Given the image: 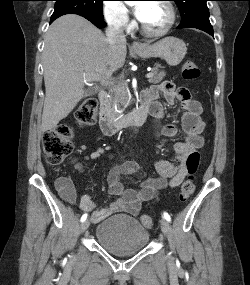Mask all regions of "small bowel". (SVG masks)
Segmentation results:
<instances>
[{
	"mask_svg": "<svg viewBox=\"0 0 250 285\" xmlns=\"http://www.w3.org/2000/svg\"><path fill=\"white\" fill-rule=\"evenodd\" d=\"M160 96H163L168 105H173L176 100L181 104V121L185 140L174 144L178 163L174 164L164 159L158 160L156 162V170L159 176L154 179H141L139 188L136 190L125 189L119 181L122 175H136L138 173V167L135 163L126 162L110 170L107 176L109 191L117 197L110 206L95 210L96 205L87 194H83L79 201V208L82 211L91 212L90 219L93 223H98L117 212L137 215L141 205L154 198L160 189L166 186H179L188 174L186 168L187 157L192 151L203 146L204 138L202 132L204 123L201 119L202 107L197 101L192 99L187 88L175 89L171 82H163L153 86L141 95V100L149 107L150 115L158 122L156 127L157 135L174 137L178 132L174 123H161L165 114L162 103L159 101ZM77 168L81 169L82 166L77 164ZM57 189L65 201L71 204L76 202V191L69 179L60 178L57 181Z\"/></svg>",
	"mask_w": 250,
	"mask_h": 285,
	"instance_id": "1",
	"label": "small bowel"
}]
</instances>
